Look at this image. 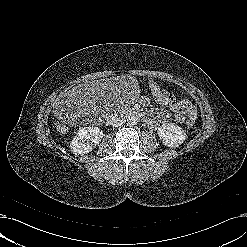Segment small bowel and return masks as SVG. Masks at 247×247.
<instances>
[{
    "label": "small bowel",
    "mask_w": 247,
    "mask_h": 247,
    "mask_svg": "<svg viewBox=\"0 0 247 247\" xmlns=\"http://www.w3.org/2000/svg\"><path fill=\"white\" fill-rule=\"evenodd\" d=\"M150 89L159 88L162 91H165L162 89L157 83L151 82L149 85ZM144 103H147L148 100L146 98L143 99ZM162 106H169L171 110L174 113V118L177 122L183 123L187 118L194 116L196 117L197 112L195 107L186 100H177L172 96L171 100L169 102H160L158 103ZM172 116V114L169 111H162L160 113V117L163 119H168ZM150 121L147 122V125L150 128H155L157 126V121L153 117H149Z\"/></svg>",
    "instance_id": "1"
}]
</instances>
